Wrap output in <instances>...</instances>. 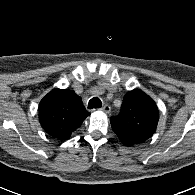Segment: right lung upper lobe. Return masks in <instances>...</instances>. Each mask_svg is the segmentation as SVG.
Returning a JSON list of instances; mask_svg holds the SVG:
<instances>
[{"mask_svg":"<svg viewBox=\"0 0 195 195\" xmlns=\"http://www.w3.org/2000/svg\"><path fill=\"white\" fill-rule=\"evenodd\" d=\"M90 115L73 90L54 89L39 104V121L52 137L67 140Z\"/></svg>","mask_w":195,"mask_h":195,"instance_id":"right-lung-upper-lobe-1","label":"right lung upper lobe"}]
</instances>
